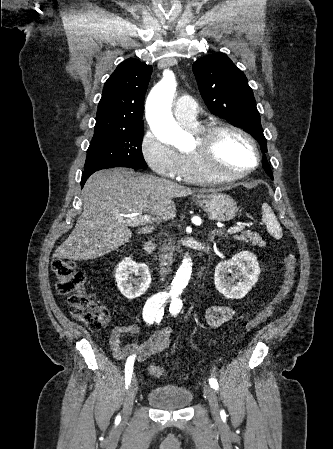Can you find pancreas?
Here are the masks:
<instances>
[{"mask_svg": "<svg viewBox=\"0 0 333 449\" xmlns=\"http://www.w3.org/2000/svg\"><path fill=\"white\" fill-rule=\"evenodd\" d=\"M235 239L251 242L253 246H264L265 244L258 233L251 231L242 232L240 235H236Z\"/></svg>", "mask_w": 333, "mask_h": 449, "instance_id": "cf45deb5", "label": "pancreas"}]
</instances>
